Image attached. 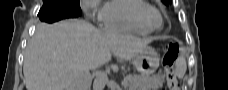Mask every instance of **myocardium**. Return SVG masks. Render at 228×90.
Returning <instances> with one entry per match:
<instances>
[{
    "mask_svg": "<svg viewBox=\"0 0 228 90\" xmlns=\"http://www.w3.org/2000/svg\"><path fill=\"white\" fill-rule=\"evenodd\" d=\"M156 16V18L159 20V24L158 25H154L152 23V16ZM140 20L142 21V23L150 30V31H157V30H161L164 26V21L162 18V14L160 13V11L152 6L149 5L147 7H145L141 12H140Z\"/></svg>",
    "mask_w": 228,
    "mask_h": 90,
    "instance_id": "1",
    "label": "myocardium"
}]
</instances>
